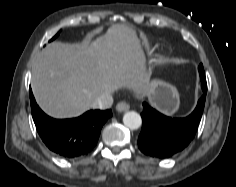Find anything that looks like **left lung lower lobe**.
<instances>
[{
    "mask_svg": "<svg viewBox=\"0 0 236 187\" xmlns=\"http://www.w3.org/2000/svg\"><path fill=\"white\" fill-rule=\"evenodd\" d=\"M201 86L203 95L198 100L195 110L185 118L167 117L143 103L142 130L138 146L145 155L169 158L190 143L197 131L205 105L207 88L202 83Z\"/></svg>",
    "mask_w": 236,
    "mask_h": 187,
    "instance_id": "1",
    "label": "left lung lower lobe"
}]
</instances>
